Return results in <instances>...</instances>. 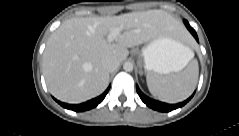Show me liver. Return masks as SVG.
Instances as JSON below:
<instances>
[{
  "label": "liver",
  "mask_w": 239,
  "mask_h": 136,
  "mask_svg": "<svg viewBox=\"0 0 239 136\" xmlns=\"http://www.w3.org/2000/svg\"><path fill=\"white\" fill-rule=\"evenodd\" d=\"M122 28L115 43L107 41L112 28ZM182 24L163 10L132 12L119 16L72 18L55 30L43 53V74L57 99L82 103L107 88L108 58L124 61L128 48L147 43L162 34L179 36Z\"/></svg>",
  "instance_id": "1"
}]
</instances>
